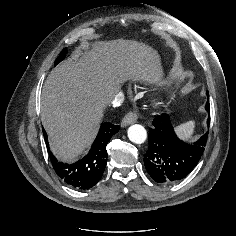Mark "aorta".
Segmentation results:
<instances>
[{
	"label": "aorta",
	"mask_w": 236,
	"mask_h": 236,
	"mask_svg": "<svg viewBox=\"0 0 236 236\" xmlns=\"http://www.w3.org/2000/svg\"><path fill=\"white\" fill-rule=\"evenodd\" d=\"M128 138L131 142L136 144H142L145 142L147 138V132L146 129L139 124L131 125L128 128Z\"/></svg>",
	"instance_id": "obj_1"
}]
</instances>
